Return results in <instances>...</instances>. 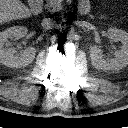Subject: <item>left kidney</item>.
<instances>
[{
  "instance_id": "left-kidney-1",
  "label": "left kidney",
  "mask_w": 128,
  "mask_h": 128,
  "mask_svg": "<svg viewBox=\"0 0 128 128\" xmlns=\"http://www.w3.org/2000/svg\"><path fill=\"white\" fill-rule=\"evenodd\" d=\"M110 39L122 43L121 49L115 51L113 58H105L103 51L97 45L90 46L91 63L96 69L119 70L128 65V33L117 28L108 30Z\"/></svg>"
}]
</instances>
